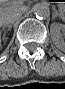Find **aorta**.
I'll return each mask as SVG.
<instances>
[{
    "label": "aorta",
    "instance_id": "1",
    "mask_svg": "<svg viewBox=\"0 0 65 89\" xmlns=\"http://www.w3.org/2000/svg\"><path fill=\"white\" fill-rule=\"evenodd\" d=\"M33 13L36 16L37 19L39 20H47L50 17V8L47 3L41 2L37 3L33 7Z\"/></svg>",
    "mask_w": 65,
    "mask_h": 89
}]
</instances>
